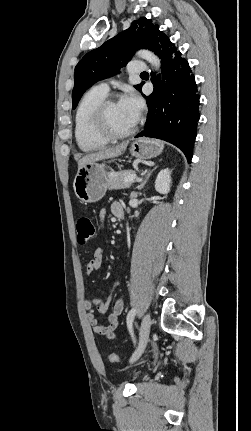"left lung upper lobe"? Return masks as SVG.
I'll return each mask as SVG.
<instances>
[{
  "mask_svg": "<svg viewBox=\"0 0 251 431\" xmlns=\"http://www.w3.org/2000/svg\"><path fill=\"white\" fill-rule=\"evenodd\" d=\"M167 37L150 19L141 17L133 21L131 27L101 47L87 53L77 64L74 72V88L72 91L73 109L76 108L83 93L99 80L114 76L131 59L137 49H149L160 38ZM143 82L135 85L140 90Z\"/></svg>",
  "mask_w": 251,
  "mask_h": 431,
  "instance_id": "obj_1",
  "label": "left lung upper lobe"
}]
</instances>
